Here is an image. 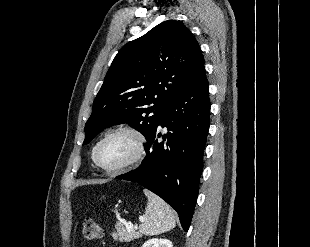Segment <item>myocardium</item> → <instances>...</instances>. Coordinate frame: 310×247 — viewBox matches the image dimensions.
<instances>
[{"label":"myocardium","mask_w":310,"mask_h":247,"mask_svg":"<svg viewBox=\"0 0 310 247\" xmlns=\"http://www.w3.org/2000/svg\"><path fill=\"white\" fill-rule=\"evenodd\" d=\"M117 134H128L133 137L135 141V151L134 154L130 159H128L126 162L115 166V167H105L103 166L98 159V153L101 148V146L104 144L106 140L109 138L117 135ZM147 150V144H146V137L144 133L138 129L137 127H134L132 125H123L119 126L111 131H109L96 145L94 151H93V161L94 163L103 171L109 173V174H117L126 171L129 168L134 167L137 165L145 156Z\"/></svg>","instance_id":"1"}]
</instances>
